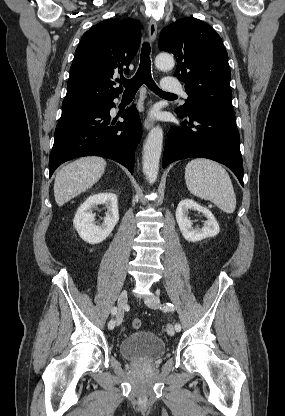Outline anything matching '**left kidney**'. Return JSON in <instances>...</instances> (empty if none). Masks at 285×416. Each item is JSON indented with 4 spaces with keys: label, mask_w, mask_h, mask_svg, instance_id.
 I'll use <instances>...</instances> for the list:
<instances>
[{
    "label": "left kidney",
    "mask_w": 285,
    "mask_h": 416,
    "mask_svg": "<svg viewBox=\"0 0 285 416\" xmlns=\"http://www.w3.org/2000/svg\"><path fill=\"white\" fill-rule=\"evenodd\" d=\"M188 210L202 212L203 216L207 218L205 228H201V230L192 228V222L188 220ZM175 216L180 232L188 242H200V240H205V238H214L220 232L219 224L216 222L212 212L207 210V208H203V206H199L194 200H181L177 206Z\"/></svg>",
    "instance_id": "1"
}]
</instances>
